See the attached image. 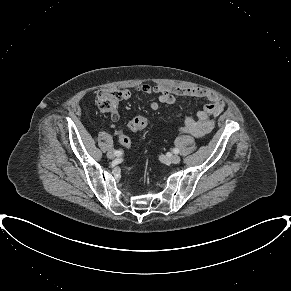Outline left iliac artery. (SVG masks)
<instances>
[{
    "label": "left iliac artery",
    "mask_w": 291,
    "mask_h": 291,
    "mask_svg": "<svg viewBox=\"0 0 291 291\" xmlns=\"http://www.w3.org/2000/svg\"><path fill=\"white\" fill-rule=\"evenodd\" d=\"M173 152H174L175 154H178V153H179V149H178V148H174V149H173Z\"/></svg>",
    "instance_id": "obj_1"
}]
</instances>
